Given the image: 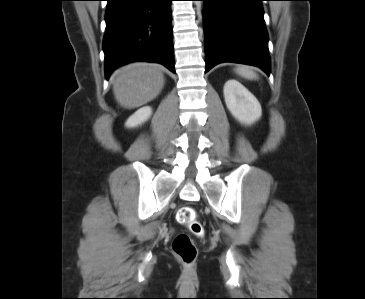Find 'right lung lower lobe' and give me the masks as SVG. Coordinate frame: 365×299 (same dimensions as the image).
Segmentation results:
<instances>
[{"mask_svg": "<svg viewBox=\"0 0 365 299\" xmlns=\"http://www.w3.org/2000/svg\"><path fill=\"white\" fill-rule=\"evenodd\" d=\"M172 0H107L103 39L105 77L135 61L163 64L175 73Z\"/></svg>", "mask_w": 365, "mask_h": 299, "instance_id": "98d812e1", "label": "right lung lower lobe"}]
</instances>
